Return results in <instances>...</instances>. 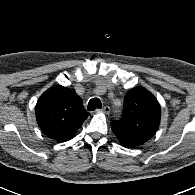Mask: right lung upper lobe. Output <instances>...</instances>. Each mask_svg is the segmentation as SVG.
Instances as JSON below:
<instances>
[{"label":"right lung upper lobe","mask_w":195,"mask_h":195,"mask_svg":"<svg viewBox=\"0 0 195 195\" xmlns=\"http://www.w3.org/2000/svg\"><path fill=\"white\" fill-rule=\"evenodd\" d=\"M88 116L75 90L62 86L49 88L36 105L38 125L47 136L58 142L72 139Z\"/></svg>","instance_id":"1"}]
</instances>
